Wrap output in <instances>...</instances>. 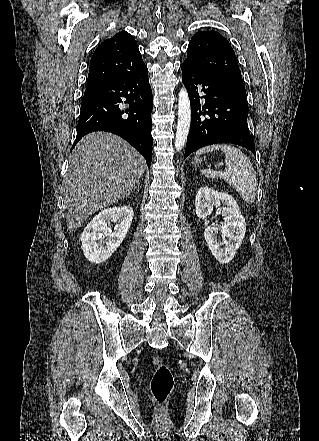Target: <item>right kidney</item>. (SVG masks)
I'll return each instance as SVG.
<instances>
[{
  "mask_svg": "<svg viewBox=\"0 0 319 441\" xmlns=\"http://www.w3.org/2000/svg\"><path fill=\"white\" fill-rule=\"evenodd\" d=\"M130 206H117L103 210L85 227L81 235L84 256L92 263L106 261L121 245L133 219ZM117 223L112 231L108 224Z\"/></svg>",
  "mask_w": 319,
  "mask_h": 441,
  "instance_id": "1",
  "label": "right kidney"
}]
</instances>
